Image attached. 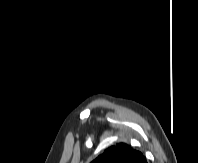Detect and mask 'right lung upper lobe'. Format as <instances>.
Instances as JSON below:
<instances>
[{
    "label": "right lung upper lobe",
    "instance_id": "cb5924a9",
    "mask_svg": "<svg viewBox=\"0 0 198 163\" xmlns=\"http://www.w3.org/2000/svg\"><path fill=\"white\" fill-rule=\"evenodd\" d=\"M91 163H147L144 155L125 143L107 148Z\"/></svg>",
    "mask_w": 198,
    "mask_h": 163
}]
</instances>
